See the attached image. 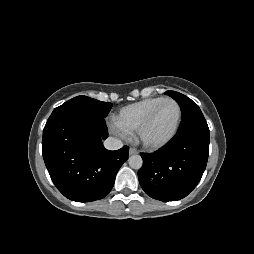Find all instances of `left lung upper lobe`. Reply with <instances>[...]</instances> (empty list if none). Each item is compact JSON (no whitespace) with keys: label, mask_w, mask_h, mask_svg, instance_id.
I'll use <instances>...</instances> for the list:
<instances>
[{"label":"left lung upper lobe","mask_w":254,"mask_h":254,"mask_svg":"<svg viewBox=\"0 0 254 254\" xmlns=\"http://www.w3.org/2000/svg\"><path fill=\"white\" fill-rule=\"evenodd\" d=\"M165 94L175 99L181 107L182 121L178 131L194 126H208L200 108L190 98L175 91H167Z\"/></svg>","instance_id":"5c2ea615"}]
</instances>
